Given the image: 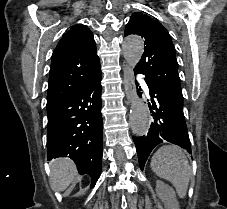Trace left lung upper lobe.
<instances>
[{"mask_svg":"<svg viewBox=\"0 0 227 209\" xmlns=\"http://www.w3.org/2000/svg\"><path fill=\"white\" fill-rule=\"evenodd\" d=\"M136 34L144 39V53L135 67L145 75L148 87L183 100L178 63L168 31L155 19L142 12L132 14L124 35Z\"/></svg>","mask_w":227,"mask_h":209,"instance_id":"1","label":"left lung upper lobe"}]
</instances>
